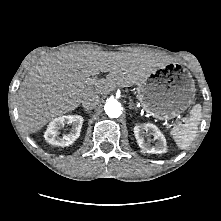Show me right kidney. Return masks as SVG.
I'll use <instances>...</instances> for the list:
<instances>
[{"mask_svg":"<svg viewBox=\"0 0 221 221\" xmlns=\"http://www.w3.org/2000/svg\"><path fill=\"white\" fill-rule=\"evenodd\" d=\"M83 121V117L80 115H66L55 118L47 126L44 135L45 140L52 145L69 146L80 136ZM64 124L72 125V128L69 134L60 137L59 132Z\"/></svg>","mask_w":221,"mask_h":221,"instance_id":"ca27d5eb","label":"right kidney"}]
</instances>
